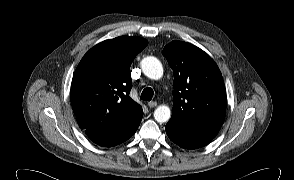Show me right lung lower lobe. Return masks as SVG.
<instances>
[{
	"label": "right lung lower lobe",
	"instance_id": "98d812e1",
	"mask_svg": "<svg viewBox=\"0 0 294 180\" xmlns=\"http://www.w3.org/2000/svg\"><path fill=\"white\" fill-rule=\"evenodd\" d=\"M143 117V111L140 109L136 112L129 121H127L120 128L104 134H96L88 136L94 143L104 146L111 147L123 143L129 139L138 129L141 119Z\"/></svg>",
	"mask_w": 294,
	"mask_h": 180
}]
</instances>
